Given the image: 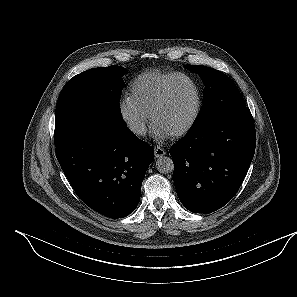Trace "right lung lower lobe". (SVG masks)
Instances as JSON below:
<instances>
[{
	"label": "right lung lower lobe",
	"instance_id": "right-lung-lower-lobe-1",
	"mask_svg": "<svg viewBox=\"0 0 297 297\" xmlns=\"http://www.w3.org/2000/svg\"><path fill=\"white\" fill-rule=\"evenodd\" d=\"M63 172L82 201L116 219L135 210L145 173L154 159L123 119L93 116L78 124L56 146Z\"/></svg>",
	"mask_w": 297,
	"mask_h": 297
}]
</instances>
